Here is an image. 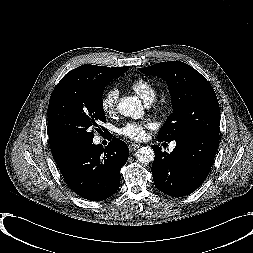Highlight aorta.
I'll return each instance as SVG.
<instances>
[{
    "label": "aorta",
    "mask_w": 253,
    "mask_h": 253,
    "mask_svg": "<svg viewBox=\"0 0 253 253\" xmlns=\"http://www.w3.org/2000/svg\"><path fill=\"white\" fill-rule=\"evenodd\" d=\"M118 111L121 115L138 119L144 114L141 100L136 96L124 97L120 100ZM136 157L142 164H149L154 160V151L150 147H142L137 150Z\"/></svg>",
    "instance_id": "762f6f07"
}]
</instances>
